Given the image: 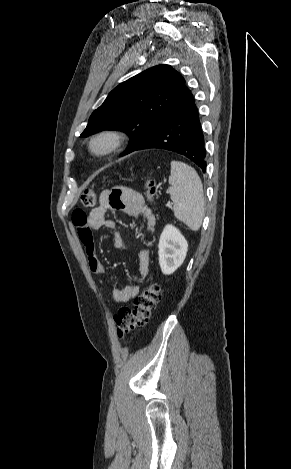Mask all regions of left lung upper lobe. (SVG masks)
Instances as JSON below:
<instances>
[{
  "instance_id": "5c2ea615",
  "label": "left lung upper lobe",
  "mask_w": 291,
  "mask_h": 469,
  "mask_svg": "<svg viewBox=\"0 0 291 469\" xmlns=\"http://www.w3.org/2000/svg\"><path fill=\"white\" fill-rule=\"evenodd\" d=\"M188 91L182 75L170 65H157L119 84L90 116L81 134L102 130L126 132L131 143L122 155L138 146Z\"/></svg>"
}]
</instances>
